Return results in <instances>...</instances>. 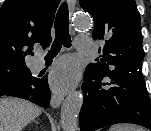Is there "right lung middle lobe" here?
Masks as SVG:
<instances>
[{"label": "right lung middle lobe", "instance_id": "1", "mask_svg": "<svg viewBox=\"0 0 151 131\" xmlns=\"http://www.w3.org/2000/svg\"><path fill=\"white\" fill-rule=\"evenodd\" d=\"M30 75H31V73L29 75L28 74H17L15 76L9 77L5 81H0V88H4L8 85L14 84L22 79L29 77Z\"/></svg>", "mask_w": 151, "mask_h": 131}]
</instances>
